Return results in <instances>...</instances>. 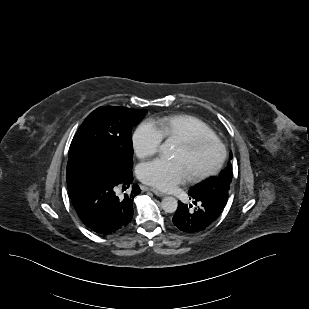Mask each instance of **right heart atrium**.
<instances>
[{
  "mask_svg": "<svg viewBox=\"0 0 309 309\" xmlns=\"http://www.w3.org/2000/svg\"><path fill=\"white\" fill-rule=\"evenodd\" d=\"M163 139L158 126L150 120H145L135 128L132 134V146L139 158H146L159 151Z\"/></svg>",
  "mask_w": 309,
  "mask_h": 309,
  "instance_id": "d8ad5b80",
  "label": "right heart atrium"
}]
</instances>
